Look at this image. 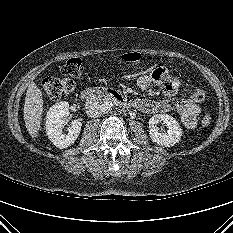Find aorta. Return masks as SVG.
Listing matches in <instances>:
<instances>
[{
	"label": "aorta",
	"mask_w": 233,
	"mask_h": 233,
	"mask_svg": "<svg viewBox=\"0 0 233 233\" xmlns=\"http://www.w3.org/2000/svg\"><path fill=\"white\" fill-rule=\"evenodd\" d=\"M112 103L110 102H104L103 103V113H109L112 110Z\"/></svg>",
	"instance_id": "762f6f07"
}]
</instances>
